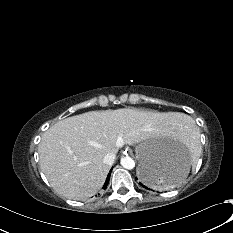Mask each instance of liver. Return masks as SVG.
I'll use <instances>...</instances> for the list:
<instances>
[{"label":"liver","instance_id":"liver-1","mask_svg":"<svg viewBox=\"0 0 233 233\" xmlns=\"http://www.w3.org/2000/svg\"><path fill=\"white\" fill-rule=\"evenodd\" d=\"M181 113L147 112L130 108L90 111L61 120L42 135L40 167L60 195L83 200L103 185L110 166L107 153L125 144L166 141L185 119Z\"/></svg>","mask_w":233,"mask_h":233}]
</instances>
